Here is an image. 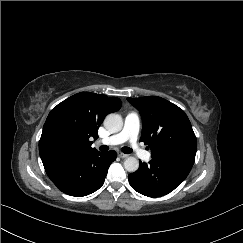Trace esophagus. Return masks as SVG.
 Returning <instances> with one entry per match:
<instances>
[{
    "mask_svg": "<svg viewBox=\"0 0 243 243\" xmlns=\"http://www.w3.org/2000/svg\"><path fill=\"white\" fill-rule=\"evenodd\" d=\"M118 156H119L120 158H127V157H128V155L125 154V153H123V152H118Z\"/></svg>",
    "mask_w": 243,
    "mask_h": 243,
    "instance_id": "obj_1",
    "label": "esophagus"
}]
</instances>
